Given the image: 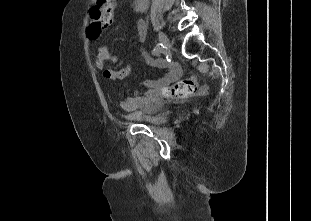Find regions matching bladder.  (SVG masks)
<instances>
[{
	"instance_id": "1",
	"label": "bladder",
	"mask_w": 311,
	"mask_h": 221,
	"mask_svg": "<svg viewBox=\"0 0 311 221\" xmlns=\"http://www.w3.org/2000/svg\"><path fill=\"white\" fill-rule=\"evenodd\" d=\"M164 102L150 105L147 109L139 110L132 114L135 118H140L144 125H161L166 122V117L162 115Z\"/></svg>"
}]
</instances>
